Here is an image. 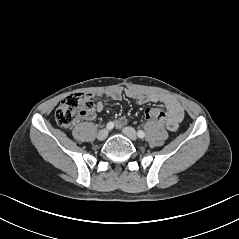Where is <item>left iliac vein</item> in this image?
Returning <instances> with one entry per match:
<instances>
[{
	"mask_svg": "<svg viewBox=\"0 0 239 239\" xmlns=\"http://www.w3.org/2000/svg\"><path fill=\"white\" fill-rule=\"evenodd\" d=\"M123 133L132 141L137 140V133L132 127H125Z\"/></svg>",
	"mask_w": 239,
	"mask_h": 239,
	"instance_id": "left-iliac-vein-1",
	"label": "left iliac vein"
}]
</instances>
